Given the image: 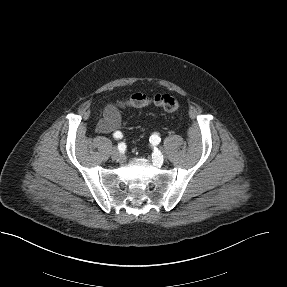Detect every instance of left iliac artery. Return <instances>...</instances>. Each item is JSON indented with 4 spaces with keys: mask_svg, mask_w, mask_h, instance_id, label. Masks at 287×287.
<instances>
[{
    "mask_svg": "<svg viewBox=\"0 0 287 287\" xmlns=\"http://www.w3.org/2000/svg\"><path fill=\"white\" fill-rule=\"evenodd\" d=\"M160 137L157 135V134H153L151 137H150V143H152L153 145H158L159 142H160Z\"/></svg>",
    "mask_w": 287,
    "mask_h": 287,
    "instance_id": "44dca946",
    "label": "left iliac artery"
}]
</instances>
